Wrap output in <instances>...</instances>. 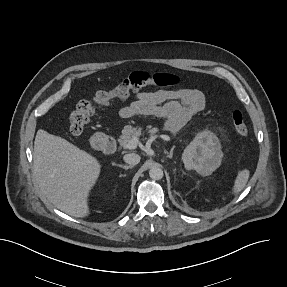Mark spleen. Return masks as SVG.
Masks as SVG:
<instances>
[{"instance_id":"spleen-1","label":"spleen","mask_w":287,"mask_h":287,"mask_svg":"<svg viewBox=\"0 0 287 287\" xmlns=\"http://www.w3.org/2000/svg\"><path fill=\"white\" fill-rule=\"evenodd\" d=\"M249 175H250V172L248 169H243V170L238 171V174L236 176V179L234 181V186L232 189V192L234 194H237L244 189V187L246 186L248 182Z\"/></svg>"}]
</instances>
